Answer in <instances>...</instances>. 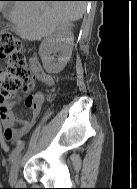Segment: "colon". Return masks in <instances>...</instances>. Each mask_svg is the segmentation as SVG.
<instances>
[{"instance_id": "1", "label": "colon", "mask_w": 137, "mask_h": 189, "mask_svg": "<svg viewBox=\"0 0 137 189\" xmlns=\"http://www.w3.org/2000/svg\"><path fill=\"white\" fill-rule=\"evenodd\" d=\"M0 61L5 63L0 71V104H2L19 91L27 92L31 89V70L38 65V61L26 58L18 39L3 31H0ZM33 104V96L27 95L25 105L32 107Z\"/></svg>"}]
</instances>
